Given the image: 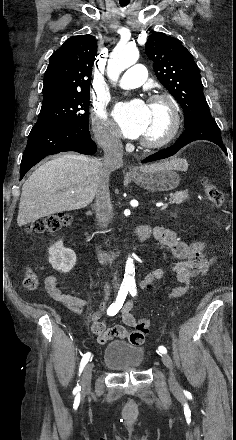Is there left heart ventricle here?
<instances>
[{
    "mask_svg": "<svg viewBox=\"0 0 236 440\" xmlns=\"http://www.w3.org/2000/svg\"><path fill=\"white\" fill-rule=\"evenodd\" d=\"M170 125V113L163 103L149 105V119L142 138L158 139L168 130Z\"/></svg>",
    "mask_w": 236,
    "mask_h": 440,
    "instance_id": "1",
    "label": "left heart ventricle"
}]
</instances>
